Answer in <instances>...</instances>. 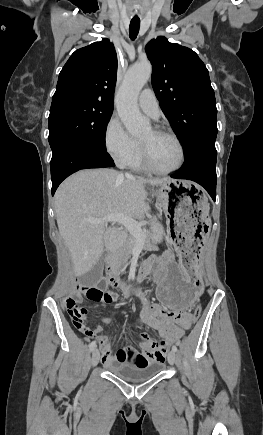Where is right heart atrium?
<instances>
[{
	"label": "right heart atrium",
	"mask_w": 263,
	"mask_h": 435,
	"mask_svg": "<svg viewBox=\"0 0 263 435\" xmlns=\"http://www.w3.org/2000/svg\"><path fill=\"white\" fill-rule=\"evenodd\" d=\"M103 141L109 156L121 166L130 165L141 149L140 143L127 132L116 115H112L108 120Z\"/></svg>",
	"instance_id": "d8ad5b80"
}]
</instances>
